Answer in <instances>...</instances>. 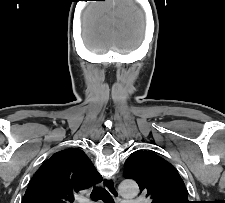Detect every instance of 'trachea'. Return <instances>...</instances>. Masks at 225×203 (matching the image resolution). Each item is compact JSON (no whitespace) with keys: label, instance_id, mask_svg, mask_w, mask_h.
Here are the masks:
<instances>
[{"label":"trachea","instance_id":"3493384b","mask_svg":"<svg viewBox=\"0 0 225 203\" xmlns=\"http://www.w3.org/2000/svg\"><path fill=\"white\" fill-rule=\"evenodd\" d=\"M91 198L93 200H102L104 203H114L113 198L109 192L104 188L94 187L91 192Z\"/></svg>","mask_w":225,"mask_h":203}]
</instances>
